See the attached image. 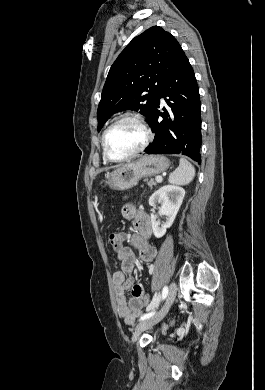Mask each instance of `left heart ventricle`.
I'll return each mask as SVG.
<instances>
[{
  "mask_svg": "<svg viewBox=\"0 0 265 390\" xmlns=\"http://www.w3.org/2000/svg\"><path fill=\"white\" fill-rule=\"evenodd\" d=\"M143 139L141 128L133 122L125 121L109 132L107 150L113 158H122L139 147Z\"/></svg>",
  "mask_w": 265,
  "mask_h": 390,
  "instance_id": "obj_1",
  "label": "left heart ventricle"
}]
</instances>
